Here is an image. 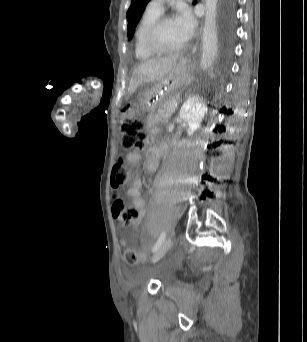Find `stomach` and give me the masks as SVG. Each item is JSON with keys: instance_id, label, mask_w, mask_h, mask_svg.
Masks as SVG:
<instances>
[{"instance_id": "1", "label": "stomach", "mask_w": 307, "mask_h": 342, "mask_svg": "<svg viewBox=\"0 0 307 342\" xmlns=\"http://www.w3.org/2000/svg\"><path fill=\"white\" fill-rule=\"evenodd\" d=\"M192 68L190 57L179 56L161 80L144 84L137 90L135 105L144 111H153L169 98H180L193 80Z\"/></svg>"}]
</instances>
